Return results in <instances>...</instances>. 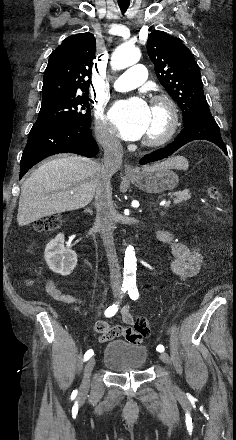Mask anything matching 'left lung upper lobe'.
Segmentation results:
<instances>
[{
  "label": "left lung upper lobe",
  "instance_id": "1",
  "mask_svg": "<svg viewBox=\"0 0 236 440\" xmlns=\"http://www.w3.org/2000/svg\"><path fill=\"white\" fill-rule=\"evenodd\" d=\"M147 51L159 82L182 110L184 127L200 114L210 112L200 69L180 39L154 31L148 38Z\"/></svg>",
  "mask_w": 236,
  "mask_h": 440
}]
</instances>
